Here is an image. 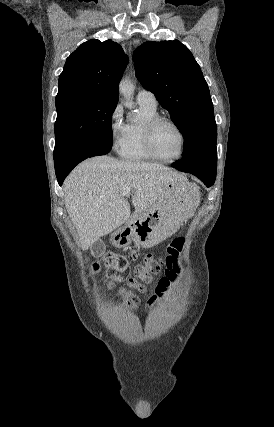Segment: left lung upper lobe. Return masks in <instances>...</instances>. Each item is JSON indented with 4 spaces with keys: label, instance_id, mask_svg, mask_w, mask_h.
Wrapping results in <instances>:
<instances>
[{
    "label": "left lung upper lobe",
    "instance_id": "obj_1",
    "mask_svg": "<svg viewBox=\"0 0 274 427\" xmlns=\"http://www.w3.org/2000/svg\"><path fill=\"white\" fill-rule=\"evenodd\" d=\"M136 76L165 108L184 138L176 163L202 172L217 170V127L208 85L188 48L178 40L139 46Z\"/></svg>",
    "mask_w": 274,
    "mask_h": 427
}]
</instances>
